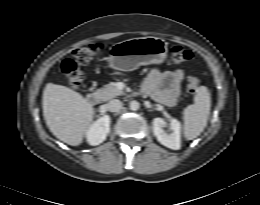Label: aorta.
<instances>
[{"label":"aorta","instance_id":"aorta-1","mask_svg":"<svg viewBox=\"0 0 260 205\" xmlns=\"http://www.w3.org/2000/svg\"><path fill=\"white\" fill-rule=\"evenodd\" d=\"M139 108H140L139 102H137L135 100L130 102V109L132 111H137Z\"/></svg>","mask_w":260,"mask_h":205}]
</instances>
